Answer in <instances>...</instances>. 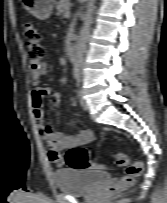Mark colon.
<instances>
[{
  "instance_id": "1",
  "label": "colon",
  "mask_w": 167,
  "mask_h": 203,
  "mask_svg": "<svg viewBox=\"0 0 167 203\" xmlns=\"http://www.w3.org/2000/svg\"><path fill=\"white\" fill-rule=\"evenodd\" d=\"M24 38L28 50L29 64L31 67L37 68L42 63L46 50L40 44L41 37L35 23L28 21L24 24ZM116 159L119 165L125 166V173L119 181L107 188L109 194L119 193L131 187L134 178L143 171V162L141 160L130 163L123 154H117ZM65 162L75 170L98 169L100 167L99 164L90 160L87 149L82 146L70 148L65 154Z\"/></svg>"
}]
</instances>
